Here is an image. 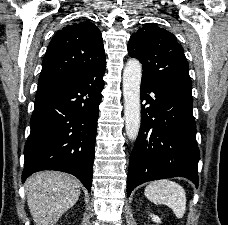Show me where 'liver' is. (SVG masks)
Instances as JSON below:
<instances>
[{
  "label": "liver",
  "mask_w": 228,
  "mask_h": 225,
  "mask_svg": "<svg viewBox=\"0 0 228 225\" xmlns=\"http://www.w3.org/2000/svg\"><path fill=\"white\" fill-rule=\"evenodd\" d=\"M27 205L35 225H56L74 207L81 195V183L67 173H34L25 185Z\"/></svg>",
  "instance_id": "1"
}]
</instances>
